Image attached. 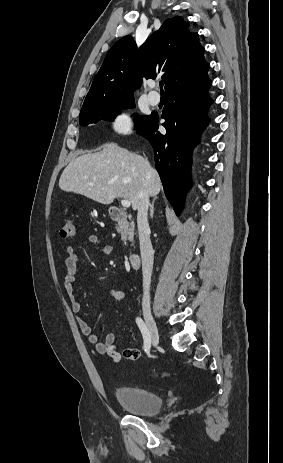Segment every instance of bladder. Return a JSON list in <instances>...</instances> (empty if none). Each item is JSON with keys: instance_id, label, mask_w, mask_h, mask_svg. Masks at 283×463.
<instances>
[{"instance_id": "1", "label": "bladder", "mask_w": 283, "mask_h": 463, "mask_svg": "<svg viewBox=\"0 0 283 463\" xmlns=\"http://www.w3.org/2000/svg\"><path fill=\"white\" fill-rule=\"evenodd\" d=\"M119 404L129 413L149 417L158 414L162 409L159 394L135 386H121L114 391Z\"/></svg>"}]
</instances>
